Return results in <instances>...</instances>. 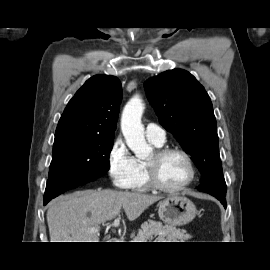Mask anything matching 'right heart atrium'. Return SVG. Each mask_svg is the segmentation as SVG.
Masks as SVG:
<instances>
[{
  "label": "right heart atrium",
  "mask_w": 270,
  "mask_h": 270,
  "mask_svg": "<svg viewBox=\"0 0 270 270\" xmlns=\"http://www.w3.org/2000/svg\"><path fill=\"white\" fill-rule=\"evenodd\" d=\"M108 174L113 184L121 189H130L136 174V160L122 138L112 143L107 155Z\"/></svg>",
  "instance_id": "1"
}]
</instances>
